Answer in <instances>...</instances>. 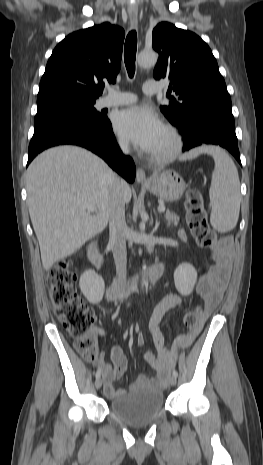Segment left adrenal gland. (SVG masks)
<instances>
[{
	"instance_id": "obj_1",
	"label": "left adrenal gland",
	"mask_w": 263,
	"mask_h": 465,
	"mask_svg": "<svg viewBox=\"0 0 263 465\" xmlns=\"http://www.w3.org/2000/svg\"><path fill=\"white\" fill-rule=\"evenodd\" d=\"M159 225V222L156 220V227Z\"/></svg>"
}]
</instances>
